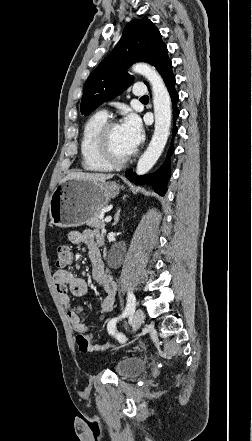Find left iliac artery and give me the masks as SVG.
Segmentation results:
<instances>
[{"mask_svg":"<svg viewBox=\"0 0 252 441\" xmlns=\"http://www.w3.org/2000/svg\"><path fill=\"white\" fill-rule=\"evenodd\" d=\"M136 306V299L135 296L133 294V292H128V297H127V304L125 307V310L123 311L122 315L119 316L118 318H114L111 321L107 322L106 327L108 329V331L113 335V339L115 341H119L121 343L125 342V336L126 333L123 330H118L116 328V322L117 320L126 317L127 315H129L130 313L134 312Z\"/></svg>","mask_w":252,"mask_h":441,"instance_id":"obj_1","label":"left iliac artery"}]
</instances>
